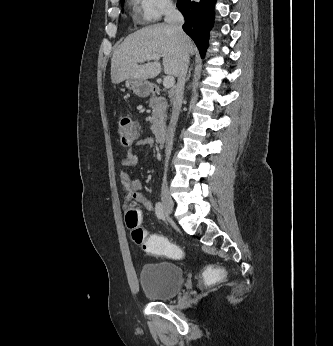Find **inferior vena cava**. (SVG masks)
I'll use <instances>...</instances> for the list:
<instances>
[{
    "mask_svg": "<svg viewBox=\"0 0 333 346\" xmlns=\"http://www.w3.org/2000/svg\"><path fill=\"white\" fill-rule=\"evenodd\" d=\"M164 20H165V23L179 37L180 42H182L185 33L182 30V25L184 24V17L181 14V12L178 9H176L174 6H169L167 8ZM188 64H189V55L186 51H184L181 57L180 64H179V70H178V76H177L178 80H177V85L175 86L174 95H173L172 116H171V121L169 125V136L167 139L168 142L166 147L165 172L167 171L168 161L170 158L172 145H173L175 126L178 121L181 103L183 100L184 84H185V77H186V73L188 69Z\"/></svg>",
    "mask_w": 333,
    "mask_h": 346,
    "instance_id": "inferior-vena-cava-1",
    "label": "inferior vena cava"
}]
</instances>
